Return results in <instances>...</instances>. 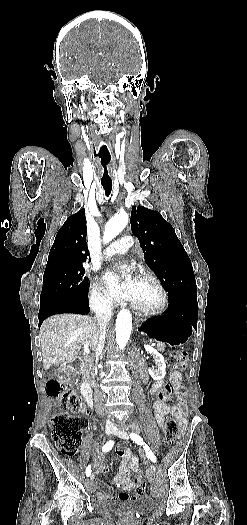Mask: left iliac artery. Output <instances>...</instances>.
<instances>
[{
    "label": "left iliac artery",
    "instance_id": "left-iliac-artery-1",
    "mask_svg": "<svg viewBox=\"0 0 247 525\" xmlns=\"http://www.w3.org/2000/svg\"><path fill=\"white\" fill-rule=\"evenodd\" d=\"M130 438L136 444L143 446L144 450L146 452V455L148 456V458H150V460L153 463H156V461H157L156 456L153 454V452L151 451L150 447L143 441V439L138 434L131 433L130 434Z\"/></svg>",
    "mask_w": 247,
    "mask_h": 525
}]
</instances>
